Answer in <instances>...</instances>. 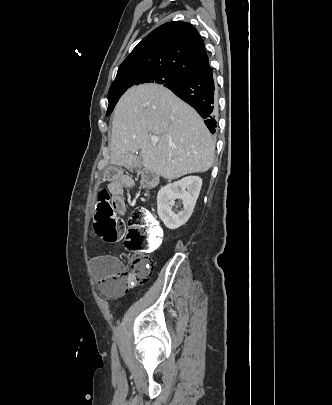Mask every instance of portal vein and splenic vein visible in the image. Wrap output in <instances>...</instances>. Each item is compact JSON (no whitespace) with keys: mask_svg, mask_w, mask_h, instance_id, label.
I'll return each instance as SVG.
<instances>
[{"mask_svg":"<svg viewBox=\"0 0 332 405\" xmlns=\"http://www.w3.org/2000/svg\"><path fill=\"white\" fill-rule=\"evenodd\" d=\"M150 138H151L152 143H154V144H157L159 141V137H157V136H151Z\"/></svg>","mask_w":332,"mask_h":405,"instance_id":"portal-vein-and-splenic-vein-1","label":"portal vein and splenic vein"}]
</instances>
